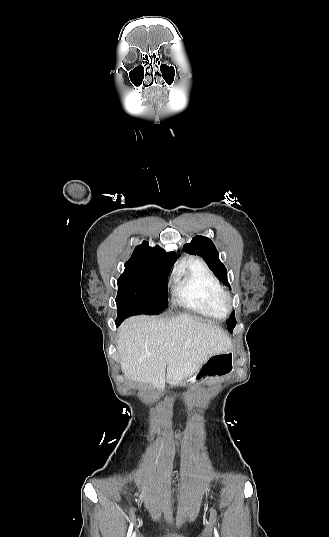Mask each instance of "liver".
<instances>
[{"label": "liver", "mask_w": 329, "mask_h": 537, "mask_svg": "<svg viewBox=\"0 0 329 537\" xmlns=\"http://www.w3.org/2000/svg\"><path fill=\"white\" fill-rule=\"evenodd\" d=\"M119 329L117 350L125 377L159 391L164 390L166 380L181 383L211 356L232 348L223 329L191 315L172 319L140 316Z\"/></svg>", "instance_id": "1"}]
</instances>
